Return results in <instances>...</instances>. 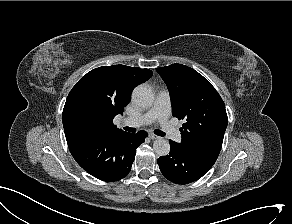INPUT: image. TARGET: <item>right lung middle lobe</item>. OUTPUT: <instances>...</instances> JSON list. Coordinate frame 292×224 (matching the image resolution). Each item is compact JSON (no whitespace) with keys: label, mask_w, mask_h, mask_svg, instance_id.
<instances>
[{"label":"right lung middle lobe","mask_w":292,"mask_h":224,"mask_svg":"<svg viewBox=\"0 0 292 224\" xmlns=\"http://www.w3.org/2000/svg\"><path fill=\"white\" fill-rule=\"evenodd\" d=\"M78 117L80 118V120L85 121V120L88 119V117H89V113H88L86 110H81V111L78 113Z\"/></svg>","instance_id":"right-lung-middle-lobe-1"}]
</instances>
